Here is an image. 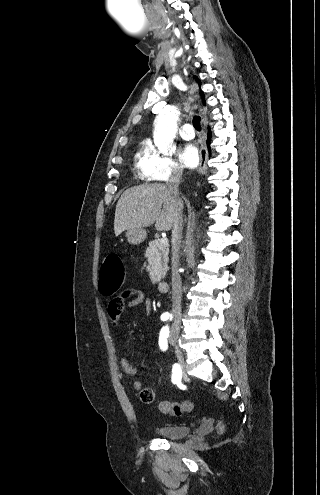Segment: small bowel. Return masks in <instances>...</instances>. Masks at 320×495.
<instances>
[{"label": "small bowel", "mask_w": 320, "mask_h": 495, "mask_svg": "<svg viewBox=\"0 0 320 495\" xmlns=\"http://www.w3.org/2000/svg\"><path fill=\"white\" fill-rule=\"evenodd\" d=\"M126 298L122 301L119 299V295L114 296L108 305V315L111 324L114 327H119L121 324L122 314L127 309H132L139 305H144L147 313H150L152 310V302L151 299L140 290L128 289L123 292ZM122 293V294H123ZM132 297V298H130ZM130 298L129 300H127ZM121 368L125 374L129 376H135L137 374V368L133 366L130 361L126 357H121L120 359ZM135 390H141L142 384L139 381H134L132 384Z\"/></svg>", "instance_id": "obj_1"}]
</instances>
